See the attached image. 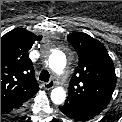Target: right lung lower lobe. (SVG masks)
<instances>
[{
	"label": "right lung lower lobe",
	"mask_w": 122,
	"mask_h": 122,
	"mask_svg": "<svg viewBox=\"0 0 122 122\" xmlns=\"http://www.w3.org/2000/svg\"><path fill=\"white\" fill-rule=\"evenodd\" d=\"M19 107H15L11 104L4 105L1 107V115H10L17 111Z\"/></svg>",
	"instance_id": "right-lung-lower-lobe-1"
}]
</instances>
